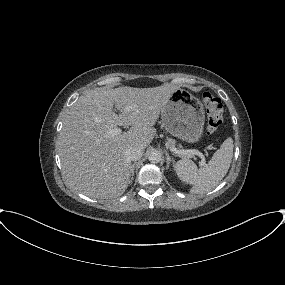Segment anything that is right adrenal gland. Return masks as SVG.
<instances>
[{
	"label": "right adrenal gland",
	"mask_w": 285,
	"mask_h": 285,
	"mask_svg": "<svg viewBox=\"0 0 285 285\" xmlns=\"http://www.w3.org/2000/svg\"><path fill=\"white\" fill-rule=\"evenodd\" d=\"M135 165H136V163L134 162V163L132 164V167H131L130 182H132V181H133V179H134V170H135Z\"/></svg>",
	"instance_id": "2a0ac1e0"
}]
</instances>
